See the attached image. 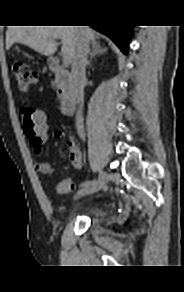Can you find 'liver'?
<instances>
[{
	"label": "liver",
	"instance_id": "6515ba94",
	"mask_svg": "<svg viewBox=\"0 0 184 292\" xmlns=\"http://www.w3.org/2000/svg\"><path fill=\"white\" fill-rule=\"evenodd\" d=\"M79 26H10L6 32V48L14 43H22L45 55L52 56L56 51V39L62 40L61 51L72 61L75 55L81 31ZM88 42L98 44L95 32L88 26H82Z\"/></svg>",
	"mask_w": 184,
	"mask_h": 292
}]
</instances>
